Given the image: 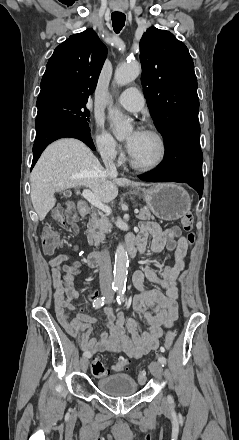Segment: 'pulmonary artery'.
Listing matches in <instances>:
<instances>
[{"instance_id":"pulmonary-artery-1","label":"pulmonary artery","mask_w":239,"mask_h":440,"mask_svg":"<svg viewBox=\"0 0 239 440\" xmlns=\"http://www.w3.org/2000/svg\"><path fill=\"white\" fill-rule=\"evenodd\" d=\"M118 103L130 111H140L144 107V99L136 88H128L118 98Z\"/></svg>"}]
</instances>
